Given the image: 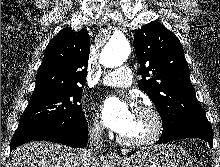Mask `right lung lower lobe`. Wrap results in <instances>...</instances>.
Here are the masks:
<instances>
[{"label":"right lung lower lobe","instance_id":"obj_1","mask_svg":"<svg viewBox=\"0 0 220 167\" xmlns=\"http://www.w3.org/2000/svg\"><path fill=\"white\" fill-rule=\"evenodd\" d=\"M32 140L62 143L71 147H85L88 140V124L83 116L71 124H39L18 128L11 141V149Z\"/></svg>","mask_w":220,"mask_h":167}]
</instances>
